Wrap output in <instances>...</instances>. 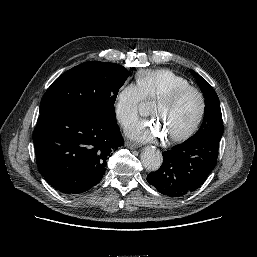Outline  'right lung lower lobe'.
<instances>
[{"mask_svg":"<svg viewBox=\"0 0 257 257\" xmlns=\"http://www.w3.org/2000/svg\"><path fill=\"white\" fill-rule=\"evenodd\" d=\"M33 141L40 173L67 194L98 184L112 152L123 145L116 118L74 107L41 113Z\"/></svg>","mask_w":257,"mask_h":257,"instance_id":"98d812e1","label":"right lung lower lobe"}]
</instances>
